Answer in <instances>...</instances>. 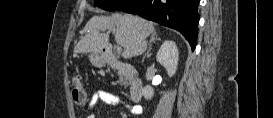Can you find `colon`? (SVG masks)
Returning <instances> with one entry per match:
<instances>
[{"mask_svg": "<svg viewBox=\"0 0 273 118\" xmlns=\"http://www.w3.org/2000/svg\"><path fill=\"white\" fill-rule=\"evenodd\" d=\"M71 94L72 99L76 104L82 105L86 102V93L78 76H74L72 79Z\"/></svg>", "mask_w": 273, "mask_h": 118, "instance_id": "colon-1", "label": "colon"}]
</instances>
